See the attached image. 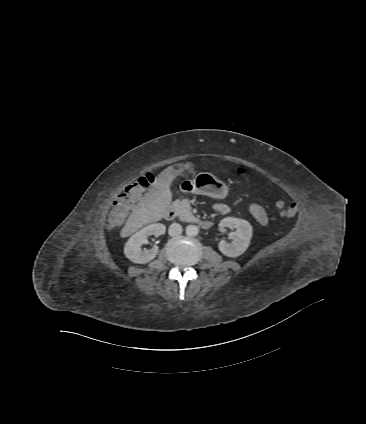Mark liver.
<instances>
[{
    "mask_svg": "<svg viewBox=\"0 0 366 424\" xmlns=\"http://www.w3.org/2000/svg\"><path fill=\"white\" fill-rule=\"evenodd\" d=\"M191 166L192 163L186 162L176 165L180 170H176L173 166L164 169L131 212L120 232V236L123 238L128 237L143 226L161 220L172 201L170 185L176 178L175 173L188 170Z\"/></svg>",
    "mask_w": 366,
    "mask_h": 424,
    "instance_id": "6515ba94",
    "label": "liver"
}]
</instances>
